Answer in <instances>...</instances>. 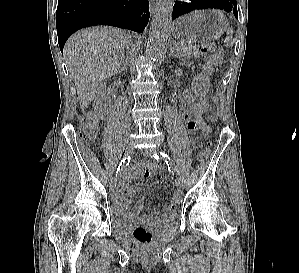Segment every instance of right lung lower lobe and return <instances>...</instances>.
I'll use <instances>...</instances> for the list:
<instances>
[{"mask_svg": "<svg viewBox=\"0 0 299 273\" xmlns=\"http://www.w3.org/2000/svg\"><path fill=\"white\" fill-rule=\"evenodd\" d=\"M148 0H58L56 25L60 50L75 31L111 25L143 32L149 21Z\"/></svg>", "mask_w": 299, "mask_h": 273, "instance_id": "right-lung-lower-lobe-1", "label": "right lung lower lobe"}]
</instances>
